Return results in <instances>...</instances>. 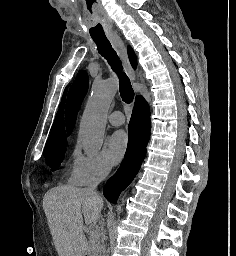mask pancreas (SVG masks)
Masks as SVG:
<instances>
[{"label":"pancreas","mask_w":236,"mask_h":256,"mask_svg":"<svg viewBox=\"0 0 236 256\" xmlns=\"http://www.w3.org/2000/svg\"><path fill=\"white\" fill-rule=\"evenodd\" d=\"M101 232H102L101 226H94L91 231V234H89L90 236L89 246L90 248H92L90 250L91 254H99L101 250V244H100V236H102Z\"/></svg>","instance_id":"cf45deb5"}]
</instances>
